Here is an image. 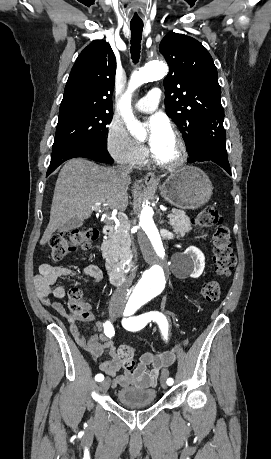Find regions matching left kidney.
<instances>
[{
  "label": "left kidney",
  "instance_id": "1",
  "mask_svg": "<svg viewBox=\"0 0 271 459\" xmlns=\"http://www.w3.org/2000/svg\"><path fill=\"white\" fill-rule=\"evenodd\" d=\"M185 255L189 261L188 275L190 277H199L205 267L204 253H202L201 249L195 247V245H190L186 249Z\"/></svg>",
  "mask_w": 271,
  "mask_h": 459
}]
</instances>
